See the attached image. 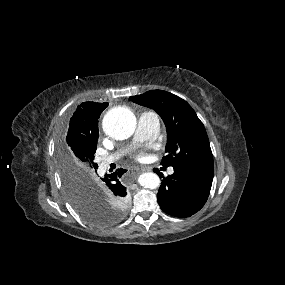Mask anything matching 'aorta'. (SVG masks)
Returning a JSON list of instances; mask_svg holds the SVG:
<instances>
[{
	"label": "aorta",
	"instance_id": "1",
	"mask_svg": "<svg viewBox=\"0 0 285 285\" xmlns=\"http://www.w3.org/2000/svg\"><path fill=\"white\" fill-rule=\"evenodd\" d=\"M104 132L115 139L123 140L130 137L136 126L134 114L126 107L110 109L103 118ZM139 184L148 189H156L160 186V178L153 172H146L139 176Z\"/></svg>",
	"mask_w": 285,
	"mask_h": 285
}]
</instances>
